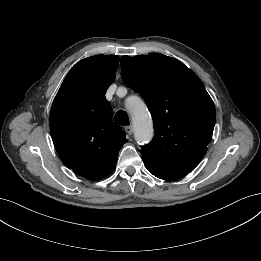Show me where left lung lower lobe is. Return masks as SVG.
Masks as SVG:
<instances>
[{"instance_id": "obj_1", "label": "left lung lower lobe", "mask_w": 261, "mask_h": 261, "mask_svg": "<svg viewBox=\"0 0 261 261\" xmlns=\"http://www.w3.org/2000/svg\"><path fill=\"white\" fill-rule=\"evenodd\" d=\"M143 162L146 168L149 170V172L160 179L174 180V179L184 177L188 174L187 172L162 169L147 161H143Z\"/></svg>"}]
</instances>
